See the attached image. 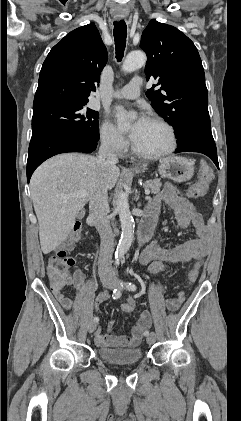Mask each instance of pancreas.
<instances>
[{
    "mask_svg": "<svg viewBox=\"0 0 241 421\" xmlns=\"http://www.w3.org/2000/svg\"><path fill=\"white\" fill-rule=\"evenodd\" d=\"M144 186L150 189L153 194H158L160 192L162 183L160 182V179H154L146 181Z\"/></svg>",
    "mask_w": 241,
    "mask_h": 421,
    "instance_id": "1",
    "label": "pancreas"
}]
</instances>
